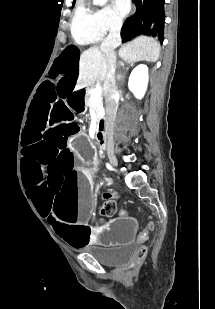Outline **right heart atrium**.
<instances>
[{
    "label": "right heart atrium",
    "mask_w": 215,
    "mask_h": 309,
    "mask_svg": "<svg viewBox=\"0 0 215 309\" xmlns=\"http://www.w3.org/2000/svg\"><path fill=\"white\" fill-rule=\"evenodd\" d=\"M94 18L97 21L99 29L106 31L117 32L122 25V18L110 7L100 10L99 14H95Z\"/></svg>",
    "instance_id": "obj_1"
}]
</instances>
